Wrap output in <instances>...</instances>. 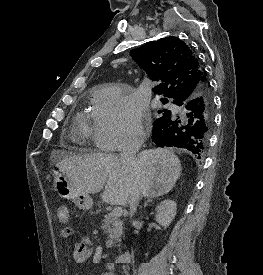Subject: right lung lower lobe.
<instances>
[{
    "label": "right lung lower lobe",
    "mask_w": 263,
    "mask_h": 275,
    "mask_svg": "<svg viewBox=\"0 0 263 275\" xmlns=\"http://www.w3.org/2000/svg\"><path fill=\"white\" fill-rule=\"evenodd\" d=\"M183 114L170 115L154 121L152 140L158 147H178L203 157L212 127V97L209 85L197 93L176 101Z\"/></svg>",
    "instance_id": "right-lung-lower-lobe-1"
}]
</instances>
